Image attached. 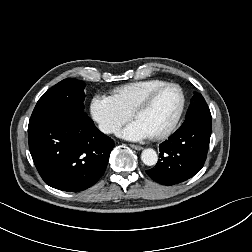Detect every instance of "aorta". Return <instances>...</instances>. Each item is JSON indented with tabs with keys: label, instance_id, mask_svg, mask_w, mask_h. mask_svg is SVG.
Here are the masks:
<instances>
[{
	"label": "aorta",
	"instance_id": "obj_1",
	"mask_svg": "<svg viewBox=\"0 0 252 252\" xmlns=\"http://www.w3.org/2000/svg\"><path fill=\"white\" fill-rule=\"evenodd\" d=\"M141 160L147 166H153L158 161V155L154 149L147 148L141 153Z\"/></svg>",
	"mask_w": 252,
	"mask_h": 252
}]
</instances>
